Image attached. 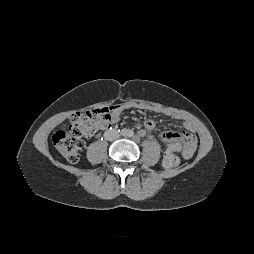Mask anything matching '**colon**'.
I'll return each mask as SVG.
<instances>
[{
	"mask_svg": "<svg viewBox=\"0 0 254 254\" xmlns=\"http://www.w3.org/2000/svg\"><path fill=\"white\" fill-rule=\"evenodd\" d=\"M109 118L110 107L76 113L69 118L65 128L54 133L53 143L68 162L76 163L84 148L83 138L90 137L99 129L105 128ZM178 164L179 158L174 154L163 158V167L168 171L176 169Z\"/></svg>",
	"mask_w": 254,
	"mask_h": 254,
	"instance_id": "1",
	"label": "colon"
}]
</instances>
